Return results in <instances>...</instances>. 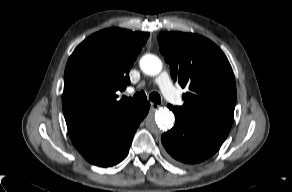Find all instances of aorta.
I'll return each instance as SVG.
<instances>
[{"label":"aorta","instance_id":"1","mask_svg":"<svg viewBox=\"0 0 292 192\" xmlns=\"http://www.w3.org/2000/svg\"><path fill=\"white\" fill-rule=\"evenodd\" d=\"M140 68L143 73L150 76H156L162 71V61L153 54H145L140 59ZM175 121L174 114L168 109H159L155 113L154 119L146 121L147 127L155 131L157 128L160 130L170 129Z\"/></svg>","mask_w":292,"mask_h":192}]
</instances>
